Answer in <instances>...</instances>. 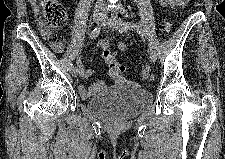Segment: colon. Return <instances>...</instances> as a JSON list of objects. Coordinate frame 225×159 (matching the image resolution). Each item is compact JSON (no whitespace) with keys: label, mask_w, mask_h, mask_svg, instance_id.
Segmentation results:
<instances>
[{"label":"colon","mask_w":225,"mask_h":159,"mask_svg":"<svg viewBox=\"0 0 225 159\" xmlns=\"http://www.w3.org/2000/svg\"><path fill=\"white\" fill-rule=\"evenodd\" d=\"M66 20L67 11L61 0H43L40 23L46 32L54 33L65 25ZM162 30L165 33L171 31V23L168 20L163 21ZM102 58L107 63L112 76L121 77L124 74L125 67L115 60L109 47L102 49ZM140 77L143 80H150L152 78L151 70L148 67L142 68Z\"/></svg>","instance_id":"5ec220e1"}]
</instances>
